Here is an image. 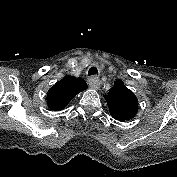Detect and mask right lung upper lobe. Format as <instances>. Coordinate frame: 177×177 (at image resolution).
<instances>
[{
    "label": "right lung upper lobe",
    "mask_w": 177,
    "mask_h": 177,
    "mask_svg": "<svg viewBox=\"0 0 177 177\" xmlns=\"http://www.w3.org/2000/svg\"><path fill=\"white\" fill-rule=\"evenodd\" d=\"M86 88L84 82L74 77H65L52 86L47 93V104L53 110L65 108L73 97Z\"/></svg>",
    "instance_id": "right-lung-upper-lobe-1"
}]
</instances>
